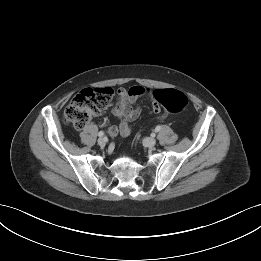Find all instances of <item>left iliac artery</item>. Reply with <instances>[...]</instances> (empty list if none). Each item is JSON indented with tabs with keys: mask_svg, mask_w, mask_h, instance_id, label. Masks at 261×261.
Wrapping results in <instances>:
<instances>
[{
	"mask_svg": "<svg viewBox=\"0 0 261 261\" xmlns=\"http://www.w3.org/2000/svg\"><path fill=\"white\" fill-rule=\"evenodd\" d=\"M161 130V126H157L156 128H155V132H159Z\"/></svg>",
	"mask_w": 261,
	"mask_h": 261,
	"instance_id": "obj_1",
	"label": "left iliac artery"
}]
</instances>
